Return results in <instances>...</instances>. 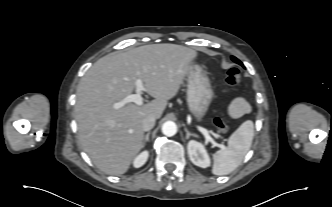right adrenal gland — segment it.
<instances>
[{
	"mask_svg": "<svg viewBox=\"0 0 332 207\" xmlns=\"http://www.w3.org/2000/svg\"><path fill=\"white\" fill-rule=\"evenodd\" d=\"M149 136H150V132H148V133L145 135V143H146V142H149Z\"/></svg>",
	"mask_w": 332,
	"mask_h": 207,
	"instance_id": "right-adrenal-gland-1",
	"label": "right adrenal gland"
}]
</instances>
